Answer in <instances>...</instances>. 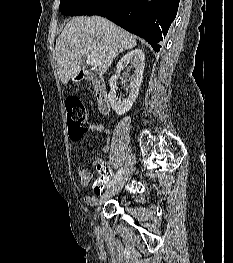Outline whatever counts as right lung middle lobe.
<instances>
[{"label": "right lung middle lobe", "instance_id": "1", "mask_svg": "<svg viewBox=\"0 0 233 263\" xmlns=\"http://www.w3.org/2000/svg\"><path fill=\"white\" fill-rule=\"evenodd\" d=\"M59 11L64 15H87L102 0H60ZM106 1V0H103Z\"/></svg>", "mask_w": 233, "mask_h": 263}]
</instances>
